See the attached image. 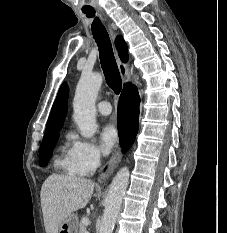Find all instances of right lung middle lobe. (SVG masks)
Returning a JSON list of instances; mask_svg holds the SVG:
<instances>
[{
	"label": "right lung middle lobe",
	"mask_w": 227,
	"mask_h": 233,
	"mask_svg": "<svg viewBox=\"0 0 227 233\" xmlns=\"http://www.w3.org/2000/svg\"><path fill=\"white\" fill-rule=\"evenodd\" d=\"M59 133L49 138H44L40 148V166H46L52 156L53 148L58 140Z\"/></svg>",
	"instance_id": "obj_1"
}]
</instances>
